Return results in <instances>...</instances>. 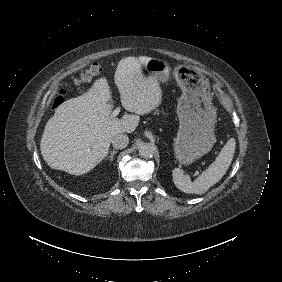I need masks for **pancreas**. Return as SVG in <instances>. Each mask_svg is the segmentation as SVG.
I'll return each mask as SVG.
<instances>
[{"label": "pancreas", "instance_id": "pancreas-1", "mask_svg": "<svg viewBox=\"0 0 282 282\" xmlns=\"http://www.w3.org/2000/svg\"><path fill=\"white\" fill-rule=\"evenodd\" d=\"M159 112H160V110H159V109H156V110L154 111V115H158ZM161 112H162V114H165L163 111H161Z\"/></svg>", "mask_w": 282, "mask_h": 282}]
</instances>
